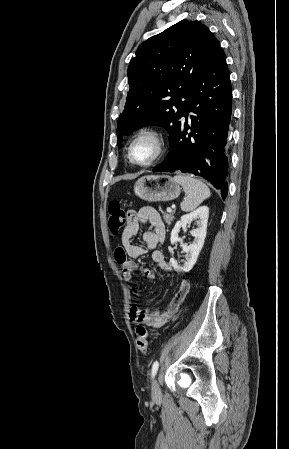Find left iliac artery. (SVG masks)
<instances>
[{
  "instance_id": "1",
  "label": "left iliac artery",
  "mask_w": 289,
  "mask_h": 449,
  "mask_svg": "<svg viewBox=\"0 0 289 449\" xmlns=\"http://www.w3.org/2000/svg\"><path fill=\"white\" fill-rule=\"evenodd\" d=\"M158 367H159V363H158V361H155L152 365V374H151L152 378L155 377V375L158 371Z\"/></svg>"
}]
</instances>
